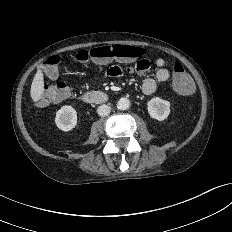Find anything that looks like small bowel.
Here are the masks:
<instances>
[{"mask_svg":"<svg viewBox=\"0 0 232 232\" xmlns=\"http://www.w3.org/2000/svg\"><path fill=\"white\" fill-rule=\"evenodd\" d=\"M156 66L158 67L155 78L148 77L144 79L142 86H141V92L144 95H151L155 92L157 87V82H166L170 78V72L165 67V60L163 58H158L155 61ZM150 61L148 59H142L140 60L134 67H127L124 68L120 65H114L110 66L105 71L106 77H119L123 75L124 73H136V74H144L147 72L150 68ZM57 78L54 77L52 79Z\"/></svg>","mask_w":232,"mask_h":232,"instance_id":"1","label":"small bowel"}]
</instances>
